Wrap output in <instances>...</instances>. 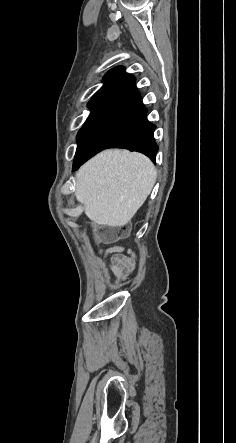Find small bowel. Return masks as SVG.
Masks as SVG:
<instances>
[{
    "instance_id": "small-bowel-1",
    "label": "small bowel",
    "mask_w": 236,
    "mask_h": 443,
    "mask_svg": "<svg viewBox=\"0 0 236 443\" xmlns=\"http://www.w3.org/2000/svg\"><path fill=\"white\" fill-rule=\"evenodd\" d=\"M123 251L124 250L122 248H110L105 252V256H107L109 253H114V256L109 262V266L117 278L116 283H119L123 278H125L133 268L132 259L123 255Z\"/></svg>"
}]
</instances>
